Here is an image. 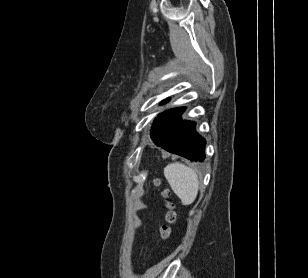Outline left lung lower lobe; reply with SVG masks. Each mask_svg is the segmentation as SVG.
<instances>
[{"label": "left lung lower lobe", "instance_id": "left-lung-lower-lobe-1", "mask_svg": "<svg viewBox=\"0 0 308 278\" xmlns=\"http://www.w3.org/2000/svg\"><path fill=\"white\" fill-rule=\"evenodd\" d=\"M185 108H175L158 115L151 129L153 142L168 152L192 161L205 159V140L197 134L195 123L182 121Z\"/></svg>", "mask_w": 308, "mask_h": 278}]
</instances>
